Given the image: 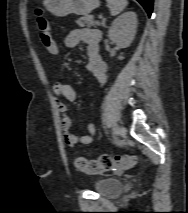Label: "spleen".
<instances>
[{"instance_id":"1","label":"spleen","mask_w":188,"mask_h":213,"mask_svg":"<svg viewBox=\"0 0 188 213\" xmlns=\"http://www.w3.org/2000/svg\"><path fill=\"white\" fill-rule=\"evenodd\" d=\"M112 16L118 15L127 6V0H106Z\"/></svg>"}]
</instances>
